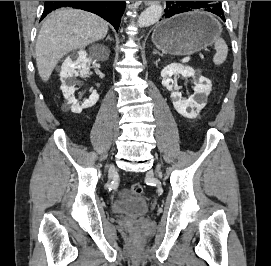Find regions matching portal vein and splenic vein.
Returning a JSON list of instances; mask_svg holds the SVG:
<instances>
[{
	"instance_id": "portal-vein-and-splenic-vein-1",
	"label": "portal vein and splenic vein",
	"mask_w": 271,
	"mask_h": 266,
	"mask_svg": "<svg viewBox=\"0 0 271 266\" xmlns=\"http://www.w3.org/2000/svg\"><path fill=\"white\" fill-rule=\"evenodd\" d=\"M189 61H190V56H187V57L182 59V63H187Z\"/></svg>"
}]
</instances>
